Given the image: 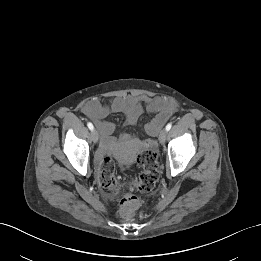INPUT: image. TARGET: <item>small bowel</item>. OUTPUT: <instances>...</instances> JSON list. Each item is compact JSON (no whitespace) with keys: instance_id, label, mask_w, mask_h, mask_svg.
Instances as JSON below:
<instances>
[{"instance_id":"small-bowel-1","label":"small bowel","mask_w":261,"mask_h":261,"mask_svg":"<svg viewBox=\"0 0 261 261\" xmlns=\"http://www.w3.org/2000/svg\"><path fill=\"white\" fill-rule=\"evenodd\" d=\"M154 113V119L146 125L147 132L156 135L166 121L176 111V105L165 98L149 97L146 95H127L110 99L107 103H101L97 99H91L83 106L84 114L89 117L102 137L106 141V147L110 145V136L115 130L113 122L106 118L112 113H121L125 116V121L129 125L137 123L143 109Z\"/></svg>"}]
</instances>
